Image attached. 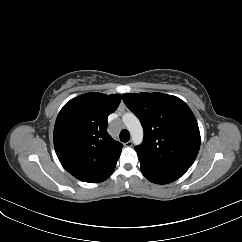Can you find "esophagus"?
<instances>
[{
  "instance_id": "1",
  "label": "esophagus",
  "mask_w": 242,
  "mask_h": 242,
  "mask_svg": "<svg viewBox=\"0 0 242 242\" xmlns=\"http://www.w3.org/2000/svg\"><path fill=\"white\" fill-rule=\"evenodd\" d=\"M133 145L132 141H128L124 143V146L131 147Z\"/></svg>"
}]
</instances>
